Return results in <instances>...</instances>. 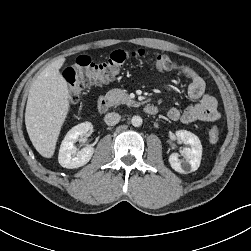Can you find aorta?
<instances>
[{
	"label": "aorta",
	"instance_id": "aorta-1",
	"mask_svg": "<svg viewBox=\"0 0 251 251\" xmlns=\"http://www.w3.org/2000/svg\"><path fill=\"white\" fill-rule=\"evenodd\" d=\"M131 123H132V125L134 127H140L142 125V123H143V120H142V118L140 116L135 115V116L132 117Z\"/></svg>",
	"mask_w": 251,
	"mask_h": 251
}]
</instances>
